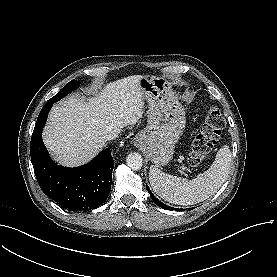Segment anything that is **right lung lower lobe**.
Returning a JSON list of instances; mask_svg holds the SVG:
<instances>
[{"mask_svg":"<svg viewBox=\"0 0 277 277\" xmlns=\"http://www.w3.org/2000/svg\"><path fill=\"white\" fill-rule=\"evenodd\" d=\"M52 105L46 103L42 108L31 138L30 154L37 181L48 197L66 209H95L106 201L111 190L114 160L110 149L77 168L62 167L50 160L42 141V129Z\"/></svg>","mask_w":277,"mask_h":277,"instance_id":"1","label":"right lung lower lobe"}]
</instances>
